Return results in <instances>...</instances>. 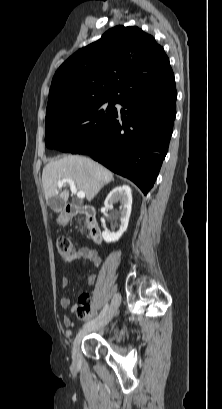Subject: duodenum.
<instances>
[{
    "instance_id": "obj_1",
    "label": "duodenum",
    "mask_w": 222,
    "mask_h": 409,
    "mask_svg": "<svg viewBox=\"0 0 222 409\" xmlns=\"http://www.w3.org/2000/svg\"><path fill=\"white\" fill-rule=\"evenodd\" d=\"M81 213L84 214L85 216L86 227L91 241L94 244L97 245L100 244L102 242V233L96 219L94 207L89 205L84 206L68 205L66 207L67 219H70L71 217Z\"/></svg>"
}]
</instances>
